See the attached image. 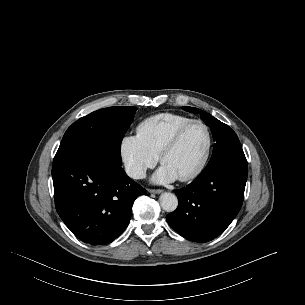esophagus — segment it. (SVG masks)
Here are the masks:
<instances>
[{
	"label": "esophagus",
	"mask_w": 305,
	"mask_h": 305,
	"mask_svg": "<svg viewBox=\"0 0 305 305\" xmlns=\"http://www.w3.org/2000/svg\"><path fill=\"white\" fill-rule=\"evenodd\" d=\"M149 193H153V194H160L163 192V190L161 189H148Z\"/></svg>",
	"instance_id": "esophagus-1"
}]
</instances>
